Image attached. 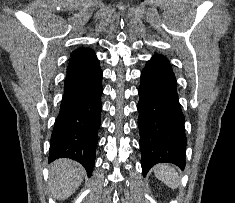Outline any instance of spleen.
<instances>
[{
  "instance_id": "obj_1",
  "label": "spleen",
  "mask_w": 235,
  "mask_h": 203,
  "mask_svg": "<svg viewBox=\"0 0 235 203\" xmlns=\"http://www.w3.org/2000/svg\"><path fill=\"white\" fill-rule=\"evenodd\" d=\"M155 176L168 187L175 189L180 185V177L174 167L168 164H158L153 168Z\"/></svg>"
}]
</instances>
